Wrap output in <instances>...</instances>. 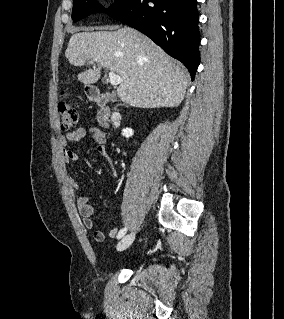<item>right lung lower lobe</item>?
<instances>
[{
    "mask_svg": "<svg viewBox=\"0 0 284 319\" xmlns=\"http://www.w3.org/2000/svg\"><path fill=\"white\" fill-rule=\"evenodd\" d=\"M197 0H132L107 13L181 61L194 79L200 63Z\"/></svg>",
    "mask_w": 284,
    "mask_h": 319,
    "instance_id": "obj_1",
    "label": "right lung lower lobe"
}]
</instances>
